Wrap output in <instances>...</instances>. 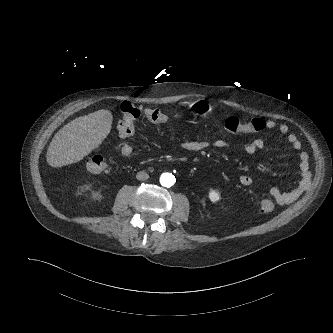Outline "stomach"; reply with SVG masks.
Masks as SVG:
<instances>
[{
	"mask_svg": "<svg viewBox=\"0 0 333 333\" xmlns=\"http://www.w3.org/2000/svg\"><path fill=\"white\" fill-rule=\"evenodd\" d=\"M191 109L198 115L206 116L211 111L208 101L198 99L190 104Z\"/></svg>",
	"mask_w": 333,
	"mask_h": 333,
	"instance_id": "obj_1",
	"label": "stomach"
}]
</instances>
